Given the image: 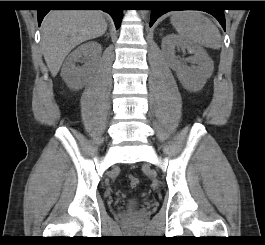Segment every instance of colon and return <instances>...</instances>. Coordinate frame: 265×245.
<instances>
[{
  "label": "colon",
  "mask_w": 265,
  "mask_h": 245,
  "mask_svg": "<svg viewBox=\"0 0 265 245\" xmlns=\"http://www.w3.org/2000/svg\"><path fill=\"white\" fill-rule=\"evenodd\" d=\"M138 183H139V179H138L137 176H135V175H131V176L129 177V184H130V186H131L132 188L137 187Z\"/></svg>",
  "instance_id": "1"
}]
</instances>
